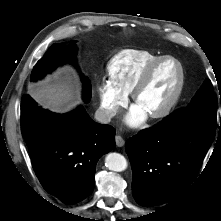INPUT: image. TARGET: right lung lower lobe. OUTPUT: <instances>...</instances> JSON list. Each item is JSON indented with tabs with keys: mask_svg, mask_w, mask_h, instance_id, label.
Masks as SVG:
<instances>
[{
	"mask_svg": "<svg viewBox=\"0 0 221 221\" xmlns=\"http://www.w3.org/2000/svg\"><path fill=\"white\" fill-rule=\"evenodd\" d=\"M21 129L33 169L49 194L74 204L92 193L96 163L115 146L112 126L94 122L83 107L67 114L50 112L26 94Z\"/></svg>",
	"mask_w": 221,
	"mask_h": 221,
	"instance_id": "obj_1",
	"label": "right lung lower lobe"
}]
</instances>
